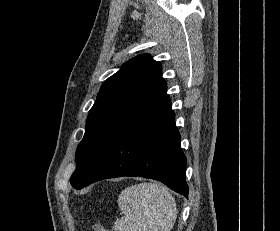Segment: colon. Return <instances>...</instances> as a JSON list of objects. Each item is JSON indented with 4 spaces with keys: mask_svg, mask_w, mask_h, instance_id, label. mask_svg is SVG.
I'll use <instances>...</instances> for the list:
<instances>
[{
    "mask_svg": "<svg viewBox=\"0 0 280 231\" xmlns=\"http://www.w3.org/2000/svg\"><path fill=\"white\" fill-rule=\"evenodd\" d=\"M93 230L94 231H107V228H106L105 224L98 222L93 225Z\"/></svg>",
    "mask_w": 280,
    "mask_h": 231,
    "instance_id": "colon-1",
    "label": "colon"
}]
</instances>
